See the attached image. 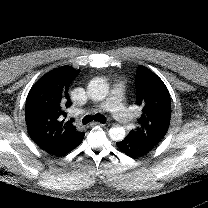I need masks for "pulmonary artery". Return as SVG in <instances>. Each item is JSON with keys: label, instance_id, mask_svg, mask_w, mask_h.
I'll return each instance as SVG.
<instances>
[{"label": "pulmonary artery", "instance_id": "pulmonary-artery-1", "mask_svg": "<svg viewBox=\"0 0 208 208\" xmlns=\"http://www.w3.org/2000/svg\"><path fill=\"white\" fill-rule=\"evenodd\" d=\"M126 87L127 82L125 80H118L113 85L107 99L96 102L95 107L97 110L109 111L121 127L131 128L130 123L133 120V114L125 104Z\"/></svg>", "mask_w": 208, "mask_h": 208}]
</instances>
